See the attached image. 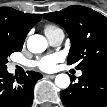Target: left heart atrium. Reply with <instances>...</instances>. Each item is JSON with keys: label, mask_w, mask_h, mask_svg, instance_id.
Instances as JSON below:
<instances>
[{"label": "left heart atrium", "mask_w": 107, "mask_h": 107, "mask_svg": "<svg viewBox=\"0 0 107 107\" xmlns=\"http://www.w3.org/2000/svg\"><path fill=\"white\" fill-rule=\"evenodd\" d=\"M62 60V56L59 53L44 56L35 62V65L42 71H53L57 63Z\"/></svg>", "instance_id": "left-heart-atrium-1"}]
</instances>
